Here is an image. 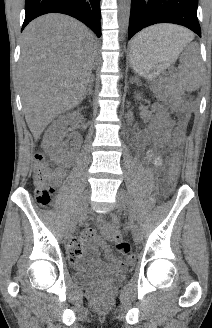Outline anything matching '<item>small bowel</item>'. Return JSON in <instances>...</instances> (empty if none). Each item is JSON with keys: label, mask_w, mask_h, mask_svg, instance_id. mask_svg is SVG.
<instances>
[{"label": "small bowel", "mask_w": 212, "mask_h": 328, "mask_svg": "<svg viewBox=\"0 0 212 328\" xmlns=\"http://www.w3.org/2000/svg\"><path fill=\"white\" fill-rule=\"evenodd\" d=\"M155 162L157 165H161L162 160L160 157H157ZM64 176L65 170L57 168L53 171L51 178L54 183H59ZM98 225L106 237L114 239V234L118 232L116 223L109 224L103 218H99ZM98 246L104 249L108 262H104L99 258ZM69 254L73 261L78 260L84 254H89L92 257L95 269L99 272L122 271L126 269V265L111 252L109 246L97 236L93 228L84 229L78 237L70 242Z\"/></svg>", "instance_id": "small-bowel-1"}]
</instances>
